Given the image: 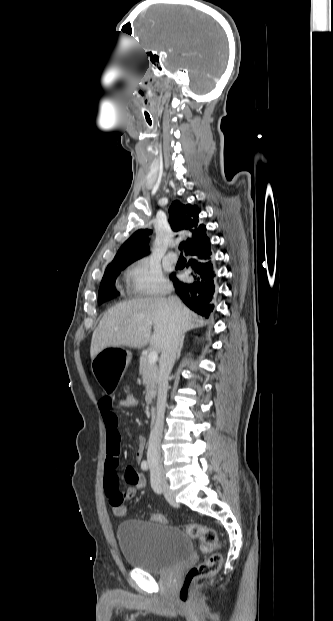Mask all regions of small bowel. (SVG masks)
Segmentation results:
<instances>
[{"label": "small bowel", "mask_w": 333, "mask_h": 621, "mask_svg": "<svg viewBox=\"0 0 333 621\" xmlns=\"http://www.w3.org/2000/svg\"><path fill=\"white\" fill-rule=\"evenodd\" d=\"M121 405V402H120ZM99 409L107 433V457L105 460L104 486L108 502L112 508L117 505H124L132 499L135 494L145 487V479L133 466H127L124 473V480L128 484L124 490L120 489V480L117 473L119 465V452L121 435L119 431V420L113 411L112 400L105 396L99 401ZM145 439H137L135 460L140 463L143 457Z\"/></svg>", "instance_id": "c3829d8e"}]
</instances>
